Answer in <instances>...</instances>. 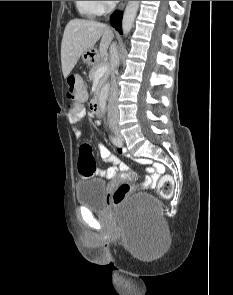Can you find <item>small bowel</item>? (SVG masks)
Masks as SVG:
<instances>
[{
	"instance_id": "small-bowel-1",
	"label": "small bowel",
	"mask_w": 233,
	"mask_h": 295,
	"mask_svg": "<svg viewBox=\"0 0 233 295\" xmlns=\"http://www.w3.org/2000/svg\"><path fill=\"white\" fill-rule=\"evenodd\" d=\"M82 102L83 101L77 103L69 114V121L74 127H76V125L86 115V110L83 107ZM99 124L100 123L97 121V125ZM98 148H99V152H100L102 160L106 164H109L110 167H108L105 170H97L96 174L106 179H112L119 172L129 171V167L125 163L121 162L117 156L113 155L100 140L98 141ZM118 152L120 154H124L125 150L124 148L119 147ZM138 162L148 166L147 169L149 172V176L147 178L146 183L148 187H152L155 184L156 180L158 179L159 175L163 172V165L158 162H151L148 159H139Z\"/></svg>"
}]
</instances>
